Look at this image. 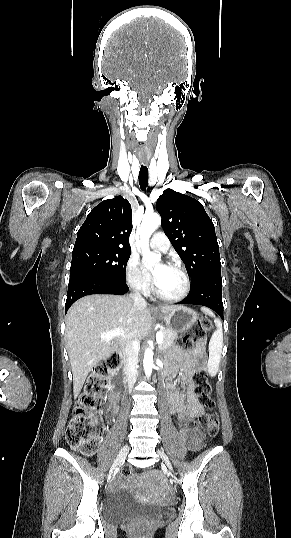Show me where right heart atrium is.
<instances>
[{
  "label": "right heart atrium",
  "instance_id": "1",
  "mask_svg": "<svg viewBox=\"0 0 291 538\" xmlns=\"http://www.w3.org/2000/svg\"><path fill=\"white\" fill-rule=\"evenodd\" d=\"M125 275L127 283L133 290L142 294H145L149 291V281L142 272L139 260L135 255H131L128 259L125 269Z\"/></svg>",
  "mask_w": 291,
  "mask_h": 538
}]
</instances>
